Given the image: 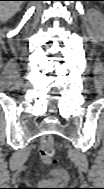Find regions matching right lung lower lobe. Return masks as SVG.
I'll use <instances>...</instances> for the list:
<instances>
[{
	"label": "right lung lower lobe",
	"mask_w": 104,
	"mask_h": 189,
	"mask_svg": "<svg viewBox=\"0 0 104 189\" xmlns=\"http://www.w3.org/2000/svg\"><path fill=\"white\" fill-rule=\"evenodd\" d=\"M16 1H29V0H16Z\"/></svg>",
	"instance_id": "obj_1"
}]
</instances>
